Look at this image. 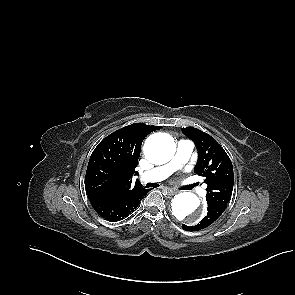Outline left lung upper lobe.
<instances>
[{"label":"left lung upper lobe","instance_id":"obj_1","mask_svg":"<svg viewBox=\"0 0 295 295\" xmlns=\"http://www.w3.org/2000/svg\"><path fill=\"white\" fill-rule=\"evenodd\" d=\"M182 132L194 141L198 151L195 172L207 184L206 201L227 205L232 196L234 173L230 158L224 149L207 133L193 127Z\"/></svg>","mask_w":295,"mask_h":295}]
</instances>
